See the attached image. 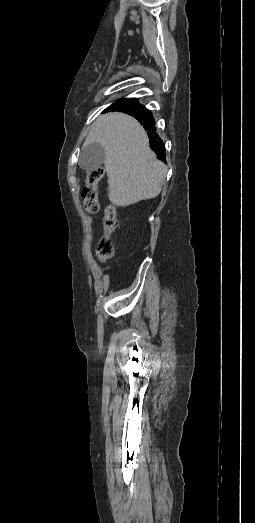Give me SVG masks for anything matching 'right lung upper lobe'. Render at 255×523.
<instances>
[{
    "label": "right lung upper lobe",
    "instance_id": "right-lung-upper-lobe-1",
    "mask_svg": "<svg viewBox=\"0 0 255 523\" xmlns=\"http://www.w3.org/2000/svg\"><path fill=\"white\" fill-rule=\"evenodd\" d=\"M121 111L135 117L145 130L150 141V147L157 154V158L166 162L165 147L155 130L154 118L149 110L138 103L118 101L109 106L104 112Z\"/></svg>",
    "mask_w": 255,
    "mask_h": 523
}]
</instances>
